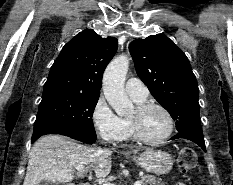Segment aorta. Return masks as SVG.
Wrapping results in <instances>:
<instances>
[{"mask_svg": "<svg viewBox=\"0 0 233 185\" xmlns=\"http://www.w3.org/2000/svg\"><path fill=\"white\" fill-rule=\"evenodd\" d=\"M128 68V57L121 55L110 62L103 76L105 98L117 115L121 117L130 114L134 109L124 89Z\"/></svg>", "mask_w": 233, "mask_h": 185, "instance_id": "762f6f07", "label": "aorta"}]
</instances>
